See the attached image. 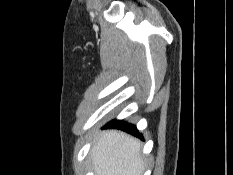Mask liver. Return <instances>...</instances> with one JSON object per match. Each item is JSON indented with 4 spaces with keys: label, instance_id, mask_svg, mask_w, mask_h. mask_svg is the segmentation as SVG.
<instances>
[{
    "label": "liver",
    "instance_id": "obj_1",
    "mask_svg": "<svg viewBox=\"0 0 233 175\" xmlns=\"http://www.w3.org/2000/svg\"><path fill=\"white\" fill-rule=\"evenodd\" d=\"M95 175H142L140 142L121 131L107 130L98 136L91 151Z\"/></svg>",
    "mask_w": 233,
    "mask_h": 175
}]
</instances>
